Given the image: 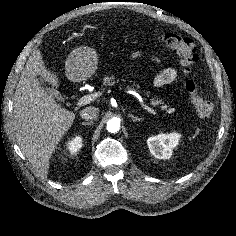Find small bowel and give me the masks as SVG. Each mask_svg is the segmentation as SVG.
<instances>
[{"label":"small bowel","mask_w":236,"mask_h":236,"mask_svg":"<svg viewBox=\"0 0 236 236\" xmlns=\"http://www.w3.org/2000/svg\"><path fill=\"white\" fill-rule=\"evenodd\" d=\"M143 57V54L140 52H136L132 55V60H136ZM154 62L159 63L160 60L156 57H151ZM179 76V72L176 68L168 67L164 69L157 77L153 80V85L156 87H160L166 84H170L174 82Z\"/></svg>","instance_id":"c3829d8e"}]
</instances>
